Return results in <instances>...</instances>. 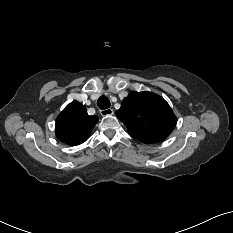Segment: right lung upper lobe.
<instances>
[{
    "instance_id": "right-lung-upper-lobe-1",
    "label": "right lung upper lobe",
    "mask_w": 233,
    "mask_h": 233,
    "mask_svg": "<svg viewBox=\"0 0 233 233\" xmlns=\"http://www.w3.org/2000/svg\"><path fill=\"white\" fill-rule=\"evenodd\" d=\"M97 122V116H89L83 104L73 101L56 119V136L68 145L81 144L86 141Z\"/></svg>"
}]
</instances>
